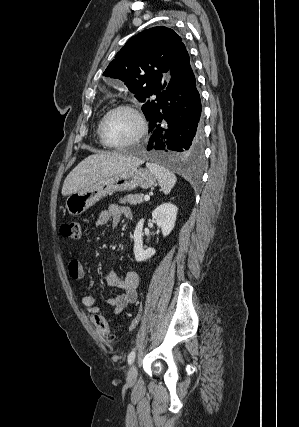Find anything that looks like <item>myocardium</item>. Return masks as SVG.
I'll return each mask as SVG.
<instances>
[{"label":"myocardium","mask_w":299,"mask_h":427,"mask_svg":"<svg viewBox=\"0 0 299 427\" xmlns=\"http://www.w3.org/2000/svg\"><path fill=\"white\" fill-rule=\"evenodd\" d=\"M117 111L129 112L130 114H132L134 116V118L136 119L137 124H138V130H137V133L135 134V136L130 141L123 143V144H111V143L107 142L105 135H104V126H105L107 119L113 113H115ZM146 132H147V121H146L144 114L142 113V111L138 107H136L133 104H129V103L119 104V105H116V106L112 107L111 109H109L101 118L99 126H98V136H99L101 143L105 147L111 148V149H125V148L132 146V145H135L145 136Z\"/></svg>","instance_id":"obj_1"}]
</instances>
